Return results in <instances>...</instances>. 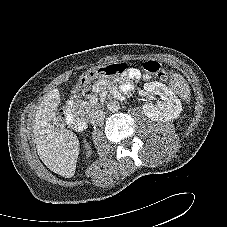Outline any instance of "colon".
<instances>
[{
    "instance_id": "5ec220e1",
    "label": "colon",
    "mask_w": 227,
    "mask_h": 227,
    "mask_svg": "<svg viewBox=\"0 0 227 227\" xmlns=\"http://www.w3.org/2000/svg\"><path fill=\"white\" fill-rule=\"evenodd\" d=\"M126 67L127 65L124 63H117L90 69L78 78L74 85V91L83 92L95 78L118 76L126 70ZM143 69L148 76H154L161 79H166L168 77L166 70L158 62L153 60L146 61L143 64Z\"/></svg>"
}]
</instances>
